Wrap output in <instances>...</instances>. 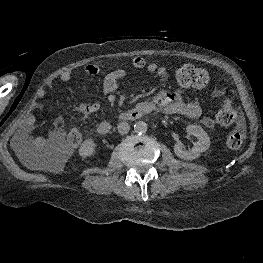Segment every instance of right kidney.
I'll return each instance as SVG.
<instances>
[{
    "label": "right kidney",
    "mask_w": 263,
    "mask_h": 263,
    "mask_svg": "<svg viewBox=\"0 0 263 263\" xmlns=\"http://www.w3.org/2000/svg\"><path fill=\"white\" fill-rule=\"evenodd\" d=\"M95 147H96V145H95L93 139H91V138L87 139L80 146V148H79V155L82 158L90 157V156H92L94 154Z\"/></svg>",
    "instance_id": "right-kidney-1"
}]
</instances>
